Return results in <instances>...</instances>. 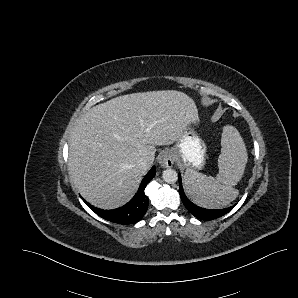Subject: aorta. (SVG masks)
Instances as JSON below:
<instances>
[{"mask_svg":"<svg viewBox=\"0 0 298 298\" xmlns=\"http://www.w3.org/2000/svg\"><path fill=\"white\" fill-rule=\"evenodd\" d=\"M162 179L168 184L175 183L178 180V173L173 168H167L162 171Z\"/></svg>","mask_w":298,"mask_h":298,"instance_id":"762f6f07","label":"aorta"}]
</instances>
